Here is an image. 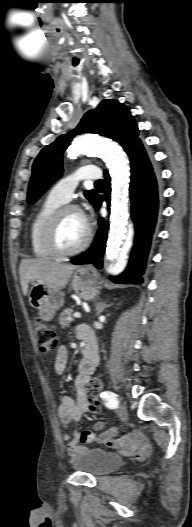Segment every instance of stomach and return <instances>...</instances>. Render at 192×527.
I'll list each match as a JSON object with an SVG mask.
<instances>
[{"label":"stomach","instance_id":"obj_1","mask_svg":"<svg viewBox=\"0 0 192 527\" xmlns=\"http://www.w3.org/2000/svg\"><path fill=\"white\" fill-rule=\"evenodd\" d=\"M98 284L97 274L89 268L78 269L71 281L72 289L85 300L96 297ZM28 297L30 305L38 309L40 318L45 321L51 320L64 303V294L61 291H54L37 281L32 282Z\"/></svg>","mask_w":192,"mask_h":527}]
</instances>
